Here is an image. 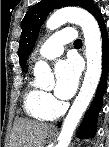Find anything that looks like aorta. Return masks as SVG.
<instances>
[{"label": "aorta", "mask_w": 109, "mask_h": 147, "mask_svg": "<svg viewBox=\"0 0 109 147\" xmlns=\"http://www.w3.org/2000/svg\"><path fill=\"white\" fill-rule=\"evenodd\" d=\"M66 22H73L83 30L87 70L78 96L71 106L63 123L57 147H68L73 132L88 107L97 89L102 72V42L99 25L95 18L86 10L77 7H66L54 12L47 20L46 26L54 30ZM36 84L45 86L53 82V74L44 61H39L34 67Z\"/></svg>", "instance_id": "aorta-1"}]
</instances>
